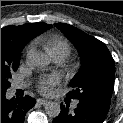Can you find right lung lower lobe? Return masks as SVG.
<instances>
[{"mask_svg": "<svg viewBox=\"0 0 123 123\" xmlns=\"http://www.w3.org/2000/svg\"><path fill=\"white\" fill-rule=\"evenodd\" d=\"M36 103V100L25 96L11 100L1 94V123H23L25 115Z\"/></svg>", "mask_w": 123, "mask_h": 123, "instance_id": "1", "label": "right lung lower lobe"}]
</instances>
